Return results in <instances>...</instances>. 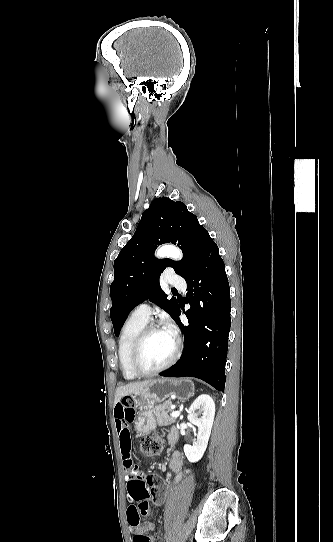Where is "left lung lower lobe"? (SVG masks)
Here are the masks:
<instances>
[{"label": "left lung lower lobe", "instance_id": "left-lung-lower-lobe-1", "mask_svg": "<svg viewBox=\"0 0 333 542\" xmlns=\"http://www.w3.org/2000/svg\"><path fill=\"white\" fill-rule=\"evenodd\" d=\"M184 279L189 297L186 303L191 305L185 313L189 325L179 319L180 302L175 319L184 336V349L177 363L160 375L196 377L224 391L231 301L225 265L212 239L197 267Z\"/></svg>", "mask_w": 333, "mask_h": 542}]
</instances>
